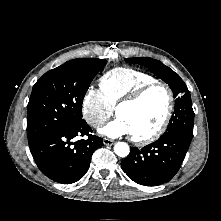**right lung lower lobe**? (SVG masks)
Here are the masks:
<instances>
[{
	"label": "right lung lower lobe",
	"instance_id": "right-lung-lower-lobe-1",
	"mask_svg": "<svg viewBox=\"0 0 221 221\" xmlns=\"http://www.w3.org/2000/svg\"><path fill=\"white\" fill-rule=\"evenodd\" d=\"M85 120L62 127L29 146L41 172L50 179L70 184L78 181L89 169L93 152L103 146L101 137L91 134ZM88 136L73 142L77 136Z\"/></svg>",
	"mask_w": 221,
	"mask_h": 221
}]
</instances>
